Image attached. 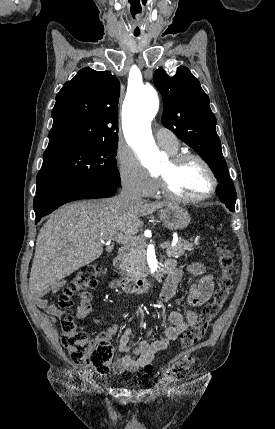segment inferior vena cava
Here are the masks:
<instances>
[{"mask_svg": "<svg viewBox=\"0 0 275 429\" xmlns=\"http://www.w3.org/2000/svg\"><path fill=\"white\" fill-rule=\"evenodd\" d=\"M118 198L125 204H130L141 200L138 190L133 184L129 182H125L123 184L121 193Z\"/></svg>", "mask_w": 275, "mask_h": 429, "instance_id": "obj_1", "label": "inferior vena cava"}]
</instances>
